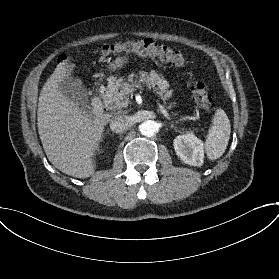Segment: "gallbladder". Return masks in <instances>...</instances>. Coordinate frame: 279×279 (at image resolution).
Instances as JSON below:
<instances>
[{
  "label": "gallbladder",
  "mask_w": 279,
  "mask_h": 279,
  "mask_svg": "<svg viewBox=\"0 0 279 279\" xmlns=\"http://www.w3.org/2000/svg\"><path fill=\"white\" fill-rule=\"evenodd\" d=\"M61 92L68 100L75 103L83 111L90 110L87 89L83 85L82 80L71 78L61 83Z\"/></svg>",
  "instance_id": "obj_1"
}]
</instances>
